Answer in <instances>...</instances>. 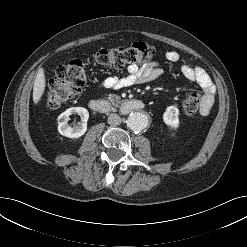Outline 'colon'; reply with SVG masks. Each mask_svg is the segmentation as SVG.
Segmentation results:
<instances>
[{
    "instance_id": "1",
    "label": "colon",
    "mask_w": 247,
    "mask_h": 247,
    "mask_svg": "<svg viewBox=\"0 0 247 247\" xmlns=\"http://www.w3.org/2000/svg\"><path fill=\"white\" fill-rule=\"evenodd\" d=\"M152 45L136 42L129 47L100 49L95 61L108 68H122L128 64H141L150 61L156 55ZM87 82L85 64L80 59L71 60L60 65L48 86L46 102L48 107L55 108L75 99L81 94ZM200 106V96L189 92L182 100V107L187 115H193Z\"/></svg>"
}]
</instances>
